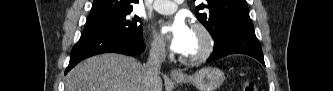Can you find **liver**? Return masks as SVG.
Returning <instances> with one entry per match:
<instances>
[{"label":"liver","instance_id":"obj_1","mask_svg":"<svg viewBox=\"0 0 333 91\" xmlns=\"http://www.w3.org/2000/svg\"><path fill=\"white\" fill-rule=\"evenodd\" d=\"M65 91H162V80H148L145 66L135 58L108 53L73 68L66 76Z\"/></svg>","mask_w":333,"mask_h":91}]
</instances>
